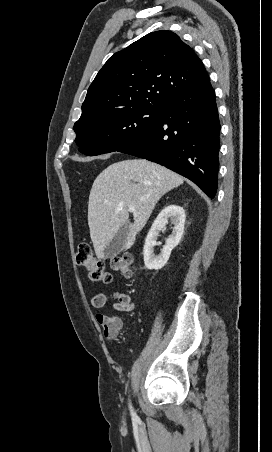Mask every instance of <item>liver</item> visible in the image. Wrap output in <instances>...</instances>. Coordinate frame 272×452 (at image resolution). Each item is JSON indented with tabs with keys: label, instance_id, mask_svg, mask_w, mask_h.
I'll return each instance as SVG.
<instances>
[{
	"label": "liver",
	"instance_id": "liver-1",
	"mask_svg": "<svg viewBox=\"0 0 272 452\" xmlns=\"http://www.w3.org/2000/svg\"><path fill=\"white\" fill-rule=\"evenodd\" d=\"M183 181L175 172L146 159L122 160L104 169L92 185L88 202V225L97 258H107L105 248L127 222L130 205L135 207L134 222L129 223L125 250L132 247L159 199Z\"/></svg>",
	"mask_w": 272,
	"mask_h": 452
}]
</instances>
